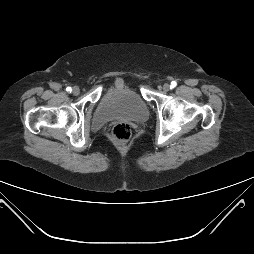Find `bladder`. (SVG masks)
I'll return each mask as SVG.
<instances>
[{
    "label": "bladder",
    "instance_id": "31cf9c89",
    "mask_svg": "<svg viewBox=\"0 0 254 254\" xmlns=\"http://www.w3.org/2000/svg\"><path fill=\"white\" fill-rule=\"evenodd\" d=\"M148 115L145 101L135 90L117 87L101 98L95 111L94 122L100 126L117 119L143 122Z\"/></svg>",
    "mask_w": 254,
    "mask_h": 254
}]
</instances>
